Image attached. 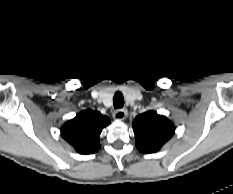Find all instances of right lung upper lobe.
Masks as SVG:
<instances>
[{
	"instance_id": "1",
	"label": "right lung upper lobe",
	"mask_w": 233,
	"mask_h": 194,
	"mask_svg": "<svg viewBox=\"0 0 233 194\" xmlns=\"http://www.w3.org/2000/svg\"><path fill=\"white\" fill-rule=\"evenodd\" d=\"M110 123L107 116L90 109L83 110L61 128L62 137L81 154L99 150V135Z\"/></svg>"
}]
</instances>
